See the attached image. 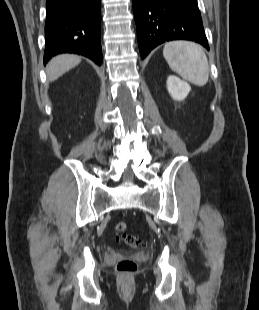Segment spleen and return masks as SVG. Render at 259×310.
I'll list each match as a JSON object with an SVG mask.
<instances>
[{"label":"spleen","mask_w":259,"mask_h":310,"mask_svg":"<svg viewBox=\"0 0 259 310\" xmlns=\"http://www.w3.org/2000/svg\"><path fill=\"white\" fill-rule=\"evenodd\" d=\"M170 68L185 80L204 86L209 79V63L203 48L190 41H172L163 49Z\"/></svg>","instance_id":"3e777b00"}]
</instances>
